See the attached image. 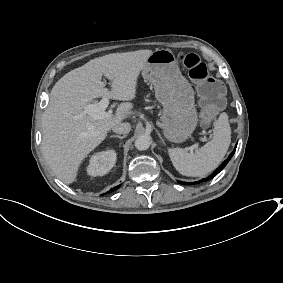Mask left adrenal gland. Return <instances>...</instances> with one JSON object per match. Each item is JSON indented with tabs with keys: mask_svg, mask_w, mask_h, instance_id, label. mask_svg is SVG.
<instances>
[{
	"mask_svg": "<svg viewBox=\"0 0 283 283\" xmlns=\"http://www.w3.org/2000/svg\"><path fill=\"white\" fill-rule=\"evenodd\" d=\"M156 133H157V135H158L160 141L163 142V139L161 138V135L159 134V132H158L157 130H156Z\"/></svg>",
	"mask_w": 283,
	"mask_h": 283,
	"instance_id": "left-adrenal-gland-1",
	"label": "left adrenal gland"
}]
</instances>
